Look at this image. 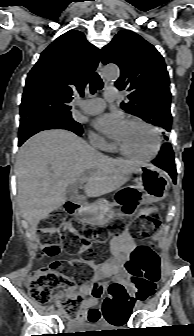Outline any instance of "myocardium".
<instances>
[{
  "label": "myocardium",
  "instance_id": "1",
  "mask_svg": "<svg viewBox=\"0 0 194 336\" xmlns=\"http://www.w3.org/2000/svg\"><path fill=\"white\" fill-rule=\"evenodd\" d=\"M126 123H136L144 126L147 128L154 136L155 140V145L153 151L148 154V155H140V154H135L132 152H129L126 150L122 145H120L117 141L115 142V147L125 156L134 158V159H139V160H152L154 159L160 152L161 150V137L159 131L150 123L136 117L128 118L126 120Z\"/></svg>",
  "mask_w": 194,
  "mask_h": 336
}]
</instances>
